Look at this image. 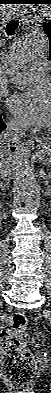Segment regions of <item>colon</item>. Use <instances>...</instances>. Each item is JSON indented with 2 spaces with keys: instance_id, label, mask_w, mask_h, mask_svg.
Returning <instances> with one entry per match:
<instances>
[{
  "instance_id": "1",
  "label": "colon",
  "mask_w": 51,
  "mask_h": 393,
  "mask_svg": "<svg viewBox=\"0 0 51 393\" xmlns=\"http://www.w3.org/2000/svg\"><path fill=\"white\" fill-rule=\"evenodd\" d=\"M2 374L13 387L15 393H27L36 372V362L26 347V318L15 314L1 331ZM34 347L45 345V336L35 333L32 338Z\"/></svg>"
}]
</instances>
